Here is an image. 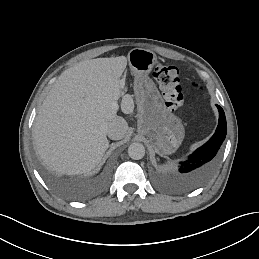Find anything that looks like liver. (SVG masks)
<instances>
[{
    "label": "liver",
    "mask_w": 259,
    "mask_h": 259,
    "mask_svg": "<svg viewBox=\"0 0 259 259\" xmlns=\"http://www.w3.org/2000/svg\"><path fill=\"white\" fill-rule=\"evenodd\" d=\"M126 65L125 56L80 62L60 75L44 99L32 135L36 153L56 172H89L103 157L107 124L120 118ZM121 109H127L126 102Z\"/></svg>",
    "instance_id": "6515ba94"
}]
</instances>
